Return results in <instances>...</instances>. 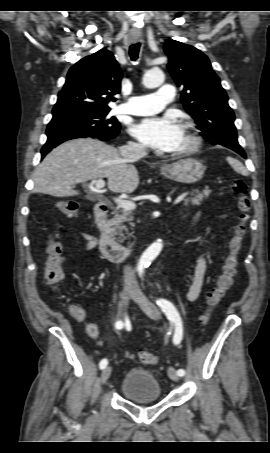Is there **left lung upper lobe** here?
<instances>
[{"label": "left lung upper lobe", "instance_id": "obj_1", "mask_svg": "<svg viewBox=\"0 0 270 453\" xmlns=\"http://www.w3.org/2000/svg\"><path fill=\"white\" fill-rule=\"evenodd\" d=\"M164 51L170 74L183 88L184 108L196 120L201 135L213 145L240 146L234 113L208 57L195 47L172 39L166 41Z\"/></svg>", "mask_w": 270, "mask_h": 453}]
</instances>
